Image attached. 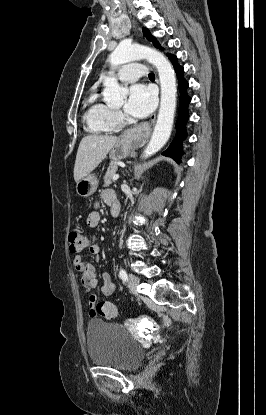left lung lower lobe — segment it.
I'll use <instances>...</instances> for the list:
<instances>
[{
  "label": "left lung lower lobe",
  "instance_id": "left-lung-lower-lobe-1",
  "mask_svg": "<svg viewBox=\"0 0 266 415\" xmlns=\"http://www.w3.org/2000/svg\"><path fill=\"white\" fill-rule=\"evenodd\" d=\"M175 72L178 77V84L180 90V102H179V116L176 122V136L172 141L170 146L163 152L164 155L173 158L178 163L181 162L182 152L180 151L181 142L186 138V122L189 119L188 114V105L191 98L187 95L188 82L184 79V68L180 66L177 62V57L175 55H169Z\"/></svg>",
  "mask_w": 266,
  "mask_h": 415
}]
</instances>
